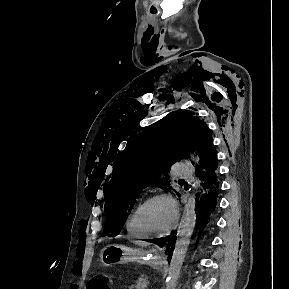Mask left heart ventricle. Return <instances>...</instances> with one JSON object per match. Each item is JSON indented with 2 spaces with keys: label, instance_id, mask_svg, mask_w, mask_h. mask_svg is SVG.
<instances>
[{
  "label": "left heart ventricle",
  "instance_id": "obj_1",
  "mask_svg": "<svg viewBox=\"0 0 289 289\" xmlns=\"http://www.w3.org/2000/svg\"><path fill=\"white\" fill-rule=\"evenodd\" d=\"M173 220V209L167 200L152 201L141 214L142 226L149 231H163Z\"/></svg>",
  "mask_w": 289,
  "mask_h": 289
}]
</instances>
